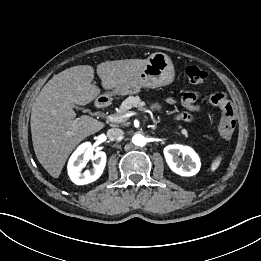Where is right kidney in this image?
Returning <instances> with one entry per match:
<instances>
[{
    "instance_id": "ca27d5eb",
    "label": "right kidney",
    "mask_w": 261,
    "mask_h": 261,
    "mask_svg": "<svg viewBox=\"0 0 261 261\" xmlns=\"http://www.w3.org/2000/svg\"><path fill=\"white\" fill-rule=\"evenodd\" d=\"M91 143L81 144L71 155L68 162V175L76 185H85L96 181L106 165V153L103 151L96 152L93 155ZM94 160V166L91 170L82 172L86 160Z\"/></svg>"
}]
</instances>
